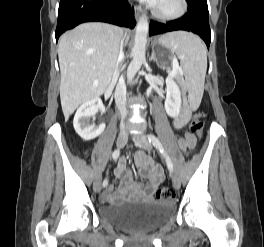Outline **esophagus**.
Returning <instances> with one entry per match:
<instances>
[{"label": "esophagus", "instance_id": "esophagus-1", "mask_svg": "<svg viewBox=\"0 0 264 247\" xmlns=\"http://www.w3.org/2000/svg\"><path fill=\"white\" fill-rule=\"evenodd\" d=\"M140 13H141V8L139 6H136L135 7V15H136V17H139Z\"/></svg>", "mask_w": 264, "mask_h": 247}]
</instances>
